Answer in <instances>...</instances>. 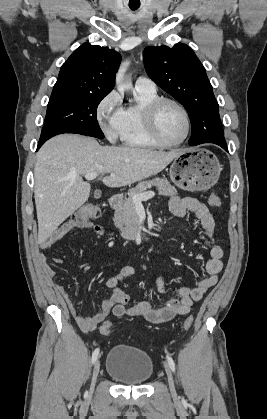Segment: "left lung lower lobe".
Wrapping results in <instances>:
<instances>
[{"label":"left lung lower lobe","mask_w":267,"mask_h":419,"mask_svg":"<svg viewBox=\"0 0 267 419\" xmlns=\"http://www.w3.org/2000/svg\"><path fill=\"white\" fill-rule=\"evenodd\" d=\"M213 135L214 134L212 132L207 130L203 133V135L192 136L193 141H190L189 145L195 146V145H199V144H202V143H214V144H217V145L221 146L226 151H228L225 140L224 141H218L215 138H213Z\"/></svg>","instance_id":"left-lung-lower-lobe-1"}]
</instances>
